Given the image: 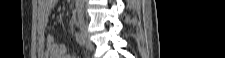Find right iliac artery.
Returning a JSON list of instances; mask_svg holds the SVG:
<instances>
[{
	"label": "right iliac artery",
	"instance_id": "82829eb1",
	"mask_svg": "<svg viewBox=\"0 0 225 58\" xmlns=\"http://www.w3.org/2000/svg\"><path fill=\"white\" fill-rule=\"evenodd\" d=\"M75 38H76V41L81 45L83 46L84 45V40L81 36V34L79 32H76L75 33Z\"/></svg>",
	"mask_w": 225,
	"mask_h": 58
}]
</instances>
